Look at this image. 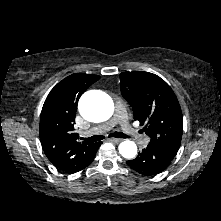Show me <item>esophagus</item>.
I'll list each match as a JSON object with an SVG mask.
<instances>
[{
  "label": "esophagus",
  "mask_w": 221,
  "mask_h": 221,
  "mask_svg": "<svg viewBox=\"0 0 221 221\" xmlns=\"http://www.w3.org/2000/svg\"><path fill=\"white\" fill-rule=\"evenodd\" d=\"M109 141L114 142V143H119V142L122 141V139H119V138H111V139H109Z\"/></svg>",
  "instance_id": "obj_1"
}]
</instances>
